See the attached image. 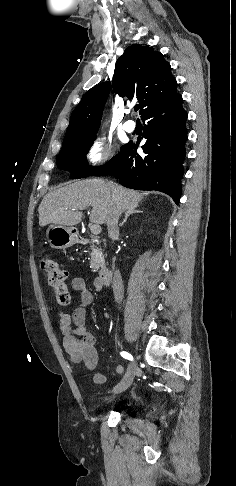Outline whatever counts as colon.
Instances as JSON below:
<instances>
[{
  "label": "colon",
  "instance_id": "obj_1",
  "mask_svg": "<svg viewBox=\"0 0 236 486\" xmlns=\"http://www.w3.org/2000/svg\"><path fill=\"white\" fill-rule=\"evenodd\" d=\"M41 267L45 273L47 282L53 288L58 304L67 305L71 300V293L66 285V272L60 267L58 262L50 257H44Z\"/></svg>",
  "mask_w": 236,
  "mask_h": 486
}]
</instances>
